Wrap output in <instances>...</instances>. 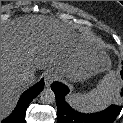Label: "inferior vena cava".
I'll return each instance as SVG.
<instances>
[{
    "label": "inferior vena cava",
    "instance_id": "inferior-vena-cava-1",
    "mask_svg": "<svg viewBox=\"0 0 123 123\" xmlns=\"http://www.w3.org/2000/svg\"><path fill=\"white\" fill-rule=\"evenodd\" d=\"M31 77H32V76L30 75L29 72H24V73L22 74V79L25 80V81H30Z\"/></svg>",
    "mask_w": 123,
    "mask_h": 123
}]
</instances>
